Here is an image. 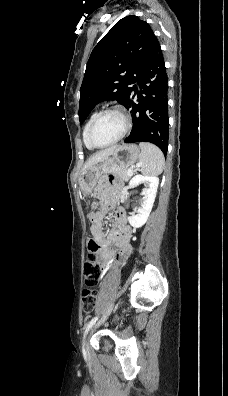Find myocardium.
<instances>
[{
    "label": "myocardium",
    "instance_id": "myocardium-1",
    "mask_svg": "<svg viewBox=\"0 0 228 396\" xmlns=\"http://www.w3.org/2000/svg\"><path fill=\"white\" fill-rule=\"evenodd\" d=\"M107 113L118 114L123 120L124 128H123L122 132L120 133V135L116 139L111 141L110 143H107L105 145H97L92 140L93 129H94L95 124L99 120V118ZM130 129H131V120H130L128 114L125 112V110L122 107H120V106L107 107V108L101 110L100 112H98L90 124V127L88 129V134H87L89 145L95 149H103V148L112 146V145L118 143L119 141H121L127 135V133L130 131Z\"/></svg>",
    "mask_w": 228,
    "mask_h": 396
}]
</instances>
